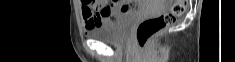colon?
Returning a JSON list of instances; mask_svg holds the SVG:
<instances>
[{
	"label": "colon",
	"instance_id": "colon-1",
	"mask_svg": "<svg viewBox=\"0 0 235 62\" xmlns=\"http://www.w3.org/2000/svg\"><path fill=\"white\" fill-rule=\"evenodd\" d=\"M170 9L158 16L141 21L135 32L136 43L140 48L146 47L151 38L163 28L173 24L186 10L187 0H172Z\"/></svg>",
	"mask_w": 235,
	"mask_h": 62
}]
</instances>
